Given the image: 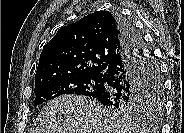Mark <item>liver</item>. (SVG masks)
<instances>
[{
  "label": "liver",
  "mask_w": 184,
  "mask_h": 133,
  "mask_svg": "<svg viewBox=\"0 0 184 133\" xmlns=\"http://www.w3.org/2000/svg\"><path fill=\"white\" fill-rule=\"evenodd\" d=\"M36 133H141L135 123L121 119L95 99L62 95L41 113Z\"/></svg>",
  "instance_id": "6515ba94"
}]
</instances>
